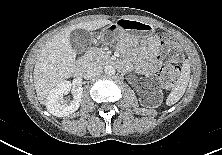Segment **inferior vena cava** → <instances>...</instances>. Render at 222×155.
Masks as SVG:
<instances>
[{
	"mask_svg": "<svg viewBox=\"0 0 222 155\" xmlns=\"http://www.w3.org/2000/svg\"><path fill=\"white\" fill-rule=\"evenodd\" d=\"M103 72L102 66L98 64H89L85 67L83 71V77L85 79H92Z\"/></svg>",
	"mask_w": 222,
	"mask_h": 155,
	"instance_id": "obj_1",
	"label": "inferior vena cava"
}]
</instances>
